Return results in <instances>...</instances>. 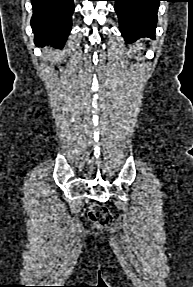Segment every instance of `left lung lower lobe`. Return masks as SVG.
<instances>
[{
    "instance_id": "1",
    "label": "left lung lower lobe",
    "mask_w": 193,
    "mask_h": 287,
    "mask_svg": "<svg viewBox=\"0 0 193 287\" xmlns=\"http://www.w3.org/2000/svg\"><path fill=\"white\" fill-rule=\"evenodd\" d=\"M115 1L120 31L126 42L140 37H153L157 11L163 0H111Z\"/></svg>"
}]
</instances>
